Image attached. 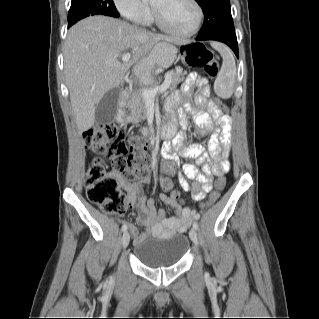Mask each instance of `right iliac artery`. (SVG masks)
Here are the masks:
<instances>
[{
  "label": "right iliac artery",
  "instance_id": "1",
  "mask_svg": "<svg viewBox=\"0 0 319 319\" xmlns=\"http://www.w3.org/2000/svg\"><path fill=\"white\" fill-rule=\"evenodd\" d=\"M122 232H125L127 230V226L126 225H123L122 228H121Z\"/></svg>",
  "mask_w": 319,
  "mask_h": 319
}]
</instances>
